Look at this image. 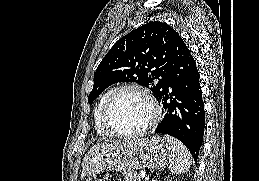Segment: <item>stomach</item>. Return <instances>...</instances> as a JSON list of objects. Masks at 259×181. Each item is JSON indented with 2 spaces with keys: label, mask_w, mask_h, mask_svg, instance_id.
Here are the masks:
<instances>
[{
  "label": "stomach",
  "mask_w": 259,
  "mask_h": 181,
  "mask_svg": "<svg viewBox=\"0 0 259 181\" xmlns=\"http://www.w3.org/2000/svg\"><path fill=\"white\" fill-rule=\"evenodd\" d=\"M168 143L159 136L126 143L113 142L94 146L85 156L83 172L97 175L104 171H131L162 168L170 159Z\"/></svg>",
  "instance_id": "0dacf381"
}]
</instances>
